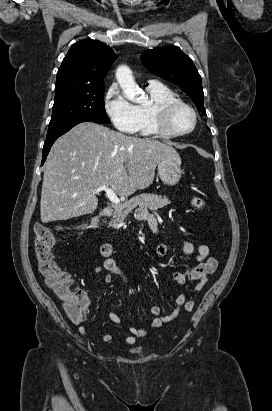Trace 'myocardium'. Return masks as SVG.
Instances as JSON below:
<instances>
[{"label": "myocardium", "mask_w": 272, "mask_h": 411, "mask_svg": "<svg viewBox=\"0 0 272 411\" xmlns=\"http://www.w3.org/2000/svg\"><path fill=\"white\" fill-rule=\"evenodd\" d=\"M178 108H185L192 115L191 126L184 131H175L170 126L172 113ZM152 119L156 131L164 138H178L190 134L197 126L198 115L195 109L187 102L181 99H169L155 104L151 110Z\"/></svg>", "instance_id": "1"}]
</instances>
